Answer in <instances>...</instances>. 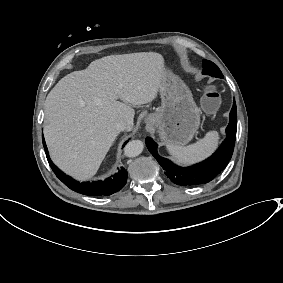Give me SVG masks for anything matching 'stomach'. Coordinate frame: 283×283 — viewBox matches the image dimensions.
<instances>
[{"mask_svg": "<svg viewBox=\"0 0 283 283\" xmlns=\"http://www.w3.org/2000/svg\"><path fill=\"white\" fill-rule=\"evenodd\" d=\"M160 95V110L147 114L144 124L152 130L158 128L161 140L168 145L187 143L200 122L199 109L191 92L180 79L167 73Z\"/></svg>", "mask_w": 283, "mask_h": 283, "instance_id": "0dacf381", "label": "stomach"}]
</instances>
